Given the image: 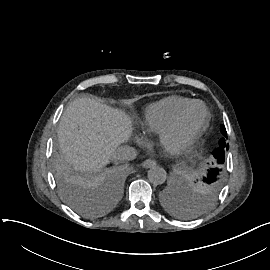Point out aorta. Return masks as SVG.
Instances as JSON below:
<instances>
[{"label": "aorta", "instance_id": "1", "mask_svg": "<svg viewBox=\"0 0 270 270\" xmlns=\"http://www.w3.org/2000/svg\"><path fill=\"white\" fill-rule=\"evenodd\" d=\"M148 178L152 184L161 185L166 181L167 174L162 167L155 165L148 171Z\"/></svg>", "mask_w": 270, "mask_h": 270}]
</instances>
